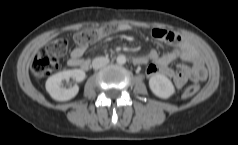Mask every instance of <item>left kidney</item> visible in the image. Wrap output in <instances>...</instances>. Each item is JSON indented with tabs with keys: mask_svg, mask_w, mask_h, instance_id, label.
Returning a JSON list of instances; mask_svg holds the SVG:
<instances>
[{
	"mask_svg": "<svg viewBox=\"0 0 238 145\" xmlns=\"http://www.w3.org/2000/svg\"><path fill=\"white\" fill-rule=\"evenodd\" d=\"M149 87L157 97L167 99L175 93L172 82L162 74H156L149 80Z\"/></svg>",
	"mask_w": 238,
	"mask_h": 145,
	"instance_id": "5707ae66",
	"label": "left kidney"
}]
</instances>
